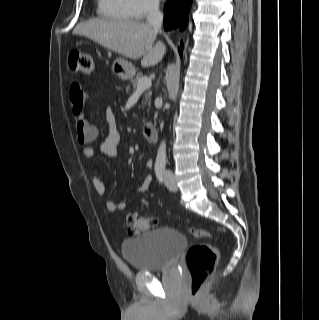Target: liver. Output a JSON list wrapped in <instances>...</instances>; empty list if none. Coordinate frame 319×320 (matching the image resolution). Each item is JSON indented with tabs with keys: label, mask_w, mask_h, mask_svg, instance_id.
Returning a JSON list of instances; mask_svg holds the SVG:
<instances>
[{
	"label": "liver",
	"mask_w": 319,
	"mask_h": 320,
	"mask_svg": "<svg viewBox=\"0 0 319 320\" xmlns=\"http://www.w3.org/2000/svg\"><path fill=\"white\" fill-rule=\"evenodd\" d=\"M157 33L149 23L126 19H90L73 31L126 58L142 57L143 66L157 65L166 52L161 41L154 45Z\"/></svg>",
	"instance_id": "1"
}]
</instances>
